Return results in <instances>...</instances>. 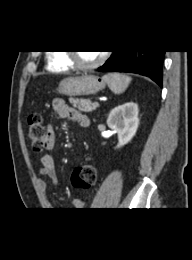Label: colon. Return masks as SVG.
<instances>
[{"instance_id":"obj_1","label":"colon","mask_w":192,"mask_h":260,"mask_svg":"<svg viewBox=\"0 0 192 260\" xmlns=\"http://www.w3.org/2000/svg\"><path fill=\"white\" fill-rule=\"evenodd\" d=\"M28 136L32 149L40 153L48 144L47 128L44 126L43 117L39 113H33L28 118ZM97 170L92 163H84L78 166L72 173V185L79 190H88L96 182Z\"/></svg>"}]
</instances>
